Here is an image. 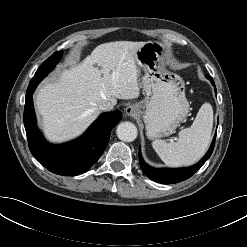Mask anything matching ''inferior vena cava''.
<instances>
[{
    "mask_svg": "<svg viewBox=\"0 0 247 247\" xmlns=\"http://www.w3.org/2000/svg\"><path fill=\"white\" fill-rule=\"evenodd\" d=\"M112 105L110 103H103L99 106V109L102 111H108L112 109Z\"/></svg>",
    "mask_w": 247,
    "mask_h": 247,
    "instance_id": "obj_1",
    "label": "inferior vena cava"
}]
</instances>
